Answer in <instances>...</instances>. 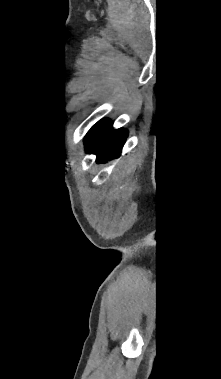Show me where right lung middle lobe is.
Listing matches in <instances>:
<instances>
[{
    "label": "right lung middle lobe",
    "instance_id": "right-lung-middle-lobe-1",
    "mask_svg": "<svg viewBox=\"0 0 221 379\" xmlns=\"http://www.w3.org/2000/svg\"><path fill=\"white\" fill-rule=\"evenodd\" d=\"M110 124V120H101L96 123L87 133L85 141L92 144L96 143L105 133Z\"/></svg>",
    "mask_w": 221,
    "mask_h": 379
}]
</instances>
